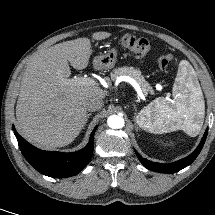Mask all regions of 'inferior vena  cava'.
<instances>
[{
	"label": "inferior vena cava",
	"instance_id": "inferior-vena-cava-1",
	"mask_svg": "<svg viewBox=\"0 0 215 215\" xmlns=\"http://www.w3.org/2000/svg\"><path fill=\"white\" fill-rule=\"evenodd\" d=\"M85 106L88 111H97L102 108L103 100L98 97H90L85 101Z\"/></svg>",
	"mask_w": 215,
	"mask_h": 215
}]
</instances>
